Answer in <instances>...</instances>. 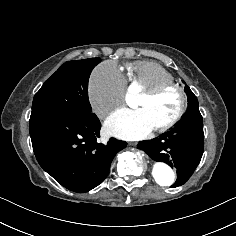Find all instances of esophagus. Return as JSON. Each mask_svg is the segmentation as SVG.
I'll use <instances>...</instances> for the list:
<instances>
[{
	"mask_svg": "<svg viewBox=\"0 0 236 236\" xmlns=\"http://www.w3.org/2000/svg\"><path fill=\"white\" fill-rule=\"evenodd\" d=\"M130 145L136 146V145H137V142H131Z\"/></svg>",
	"mask_w": 236,
	"mask_h": 236,
	"instance_id": "1",
	"label": "esophagus"
}]
</instances>
